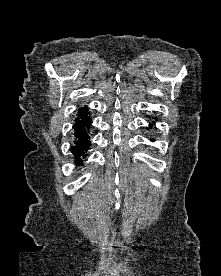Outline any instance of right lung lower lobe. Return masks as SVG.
I'll use <instances>...</instances> for the list:
<instances>
[{
    "mask_svg": "<svg viewBox=\"0 0 221 276\" xmlns=\"http://www.w3.org/2000/svg\"><path fill=\"white\" fill-rule=\"evenodd\" d=\"M78 117L75 118L73 125L74 129V144L71 147V152L75 157V162L81 164V158H85L88 154L87 151L90 146L89 129L91 126V118L88 117V108L79 109Z\"/></svg>",
    "mask_w": 221,
    "mask_h": 276,
    "instance_id": "right-lung-lower-lobe-1",
    "label": "right lung lower lobe"
}]
</instances>
